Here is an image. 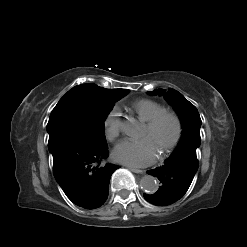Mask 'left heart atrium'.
Instances as JSON below:
<instances>
[{"label": "left heart atrium", "mask_w": 247, "mask_h": 247, "mask_svg": "<svg viewBox=\"0 0 247 247\" xmlns=\"http://www.w3.org/2000/svg\"><path fill=\"white\" fill-rule=\"evenodd\" d=\"M157 148L147 137L140 140H124L113 150L115 161L134 167H144L152 164L157 157Z\"/></svg>", "instance_id": "left-heart-atrium-1"}]
</instances>
